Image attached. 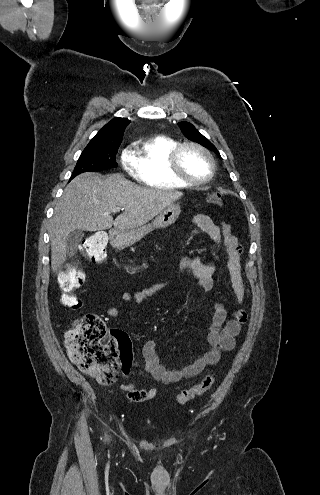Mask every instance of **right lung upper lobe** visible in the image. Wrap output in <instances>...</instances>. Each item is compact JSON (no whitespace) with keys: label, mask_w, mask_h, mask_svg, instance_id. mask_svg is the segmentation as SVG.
<instances>
[{"label":"right lung upper lobe","mask_w":320,"mask_h":495,"mask_svg":"<svg viewBox=\"0 0 320 495\" xmlns=\"http://www.w3.org/2000/svg\"><path fill=\"white\" fill-rule=\"evenodd\" d=\"M129 124L126 118H114L98 131L87 146L120 145L124 130Z\"/></svg>","instance_id":"1"}]
</instances>
